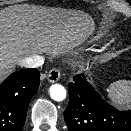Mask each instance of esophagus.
I'll return each instance as SVG.
<instances>
[{
    "mask_svg": "<svg viewBox=\"0 0 131 131\" xmlns=\"http://www.w3.org/2000/svg\"><path fill=\"white\" fill-rule=\"evenodd\" d=\"M47 79L50 83L57 82L60 79V70L58 68H53L49 71Z\"/></svg>",
    "mask_w": 131,
    "mask_h": 131,
    "instance_id": "obj_1",
    "label": "esophagus"
}]
</instances>
